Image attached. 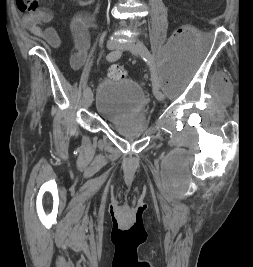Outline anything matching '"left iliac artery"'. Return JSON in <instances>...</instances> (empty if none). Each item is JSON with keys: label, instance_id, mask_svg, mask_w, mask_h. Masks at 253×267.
I'll return each mask as SVG.
<instances>
[{"label": "left iliac artery", "instance_id": "44dca946", "mask_svg": "<svg viewBox=\"0 0 253 267\" xmlns=\"http://www.w3.org/2000/svg\"><path fill=\"white\" fill-rule=\"evenodd\" d=\"M137 49L141 55V57L143 58V60L149 65L152 67V70H153V67H154V59L151 58L148 53L146 52L147 50V47L145 46V44L141 41H138L137 42ZM151 79H152V85H153V88H157L159 89L160 88V82H159V79L157 77V75L152 71V75H151Z\"/></svg>", "mask_w": 253, "mask_h": 267}]
</instances>
